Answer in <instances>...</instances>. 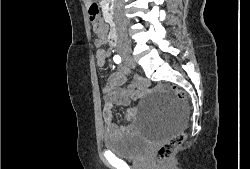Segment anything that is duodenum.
Segmentation results:
<instances>
[{
    "label": "duodenum",
    "mask_w": 250,
    "mask_h": 169,
    "mask_svg": "<svg viewBox=\"0 0 250 169\" xmlns=\"http://www.w3.org/2000/svg\"><path fill=\"white\" fill-rule=\"evenodd\" d=\"M108 41L112 46L119 45L118 35H117L116 31L112 30L109 32ZM104 121H105V119H104Z\"/></svg>",
    "instance_id": "obj_1"
}]
</instances>
